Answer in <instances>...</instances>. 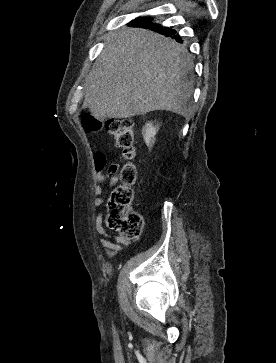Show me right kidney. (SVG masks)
I'll list each match as a JSON object with an SVG mask.
<instances>
[{
	"label": "right kidney",
	"mask_w": 276,
	"mask_h": 363,
	"mask_svg": "<svg viewBox=\"0 0 276 363\" xmlns=\"http://www.w3.org/2000/svg\"><path fill=\"white\" fill-rule=\"evenodd\" d=\"M159 127L154 126L152 122L146 123L142 129V135L144 141L148 147H152L155 142V135L158 132Z\"/></svg>",
	"instance_id": "ca27d5eb"
}]
</instances>
